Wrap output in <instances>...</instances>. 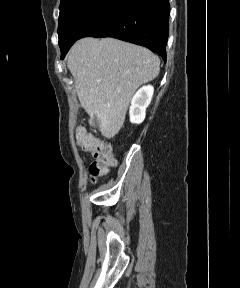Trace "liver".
I'll return each mask as SVG.
<instances>
[{
  "label": "liver",
  "instance_id": "1",
  "mask_svg": "<svg viewBox=\"0 0 240 288\" xmlns=\"http://www.w3.org/2000/svg\"><path fill=\"white\" fill-rule=\"evenodd\" d=\"M67 58L81 106L108 139L123 127L135 91L160 71V59L150 50L114 38L81 39Z\"/></svg>",
  "mask_w": 240,
  "mask_h": 288
}]
</instances>
